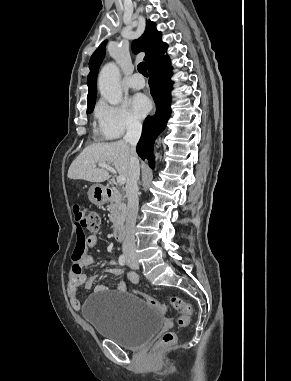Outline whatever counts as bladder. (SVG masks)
I'll use <instances>...</instances> for the list:
<instances>
[{
    "instance_id": "obj_1",
    "label": "bladder",
    "mask_w": 291,
    "mask_h": 381,
    "mask_svg": "<svg viewBox=\"0 0 291 381\" xmlns=\"http://www.w3.org/2000/svg\"><path fill=\"white\" fill-rule=\"evenodd\" d=\"M82 317L98 336L127 349L141 347L164 325V318L147 301L124 291L112 296L91 295L82 309Z\"/></svg>"
}]
</instances>
